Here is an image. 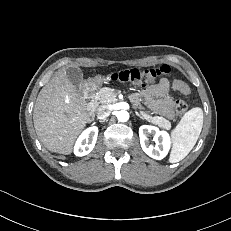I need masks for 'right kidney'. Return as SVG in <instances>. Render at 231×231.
Returning a JSON list of instances; mask_svg holds the SVG:
<instances>
[{
    "mask_svg": "<svg viewBox=\"0 0 231 231\" xmlns=\"http://www.w3.org/2000/svg\"><path fill=\"white\" fill-rule=\"evenodd\" d=\"M98 136V128L96 126L86 129L78 138L75 147L74 154L76 156H85L89 154L96 143Z\"/></svg>",
    "mask_w": 231,
    "mask_h": 231,
    "instance_id": "1",
    "label": "right kidney"
}]
</instances>
